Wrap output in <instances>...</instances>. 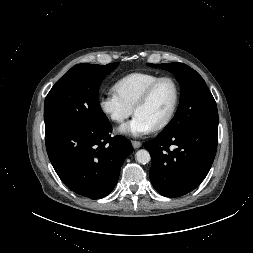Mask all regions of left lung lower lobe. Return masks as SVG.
<instances>
[{"label":"left lung lower lobe","instance_id":"left-lung-lower-lobe-1","mask_svg":"<svg viewBox=\"0 0 253 253\" xmlns=\"http://www.w3.org/2000/svg\"><path fill=\"white\" fill-rule=\"evenodd\" d=\"M217 136L218 129L193 127L145 142L155 190L166 197H179L198 187L214 161Z\"/></svg>","mask_w":253,"mask_h":253}]
</instances>
